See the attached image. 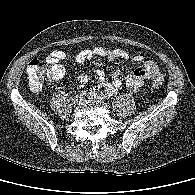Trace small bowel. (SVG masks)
I'll return each instance as SVG.
<instances>
[{
    "label": "small bowel",
    "mask_w": 195,
    "mask_h": 195,
    "mask_svg": "<svg viewBox=\"0 0 195 195\" xmlns=\"http://www.w3.org/2000/svg\"><path fill=\"white\" fill-rule=\"evenodd\" d=\"M96 56L103 57L108 61H113L115 59H129V54L122 49L95 47L92 49L80 50L76 54L75 61L78 65H83L85 62L92 60ZM65 57L66 53L64 51L56 50L48 55L47 61L60 63ZM132 61L137 64L138 67L125 78V87L128 90L137 92L142 88L145 81L163 78L162 72L153 60L146 59L141 55H135L132 57ZM97 73L100 80V87L109 94H115L122 88L120 71H117L111 77H107L102 70H97ZM88 80L89 78L85 74H80L77 77V81L83 85L86 84Z\"/></svg>",
    "instance_id": "1"
}]
</instances>
